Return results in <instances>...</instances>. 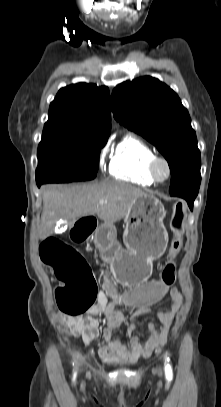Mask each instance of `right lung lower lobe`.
<instances>
[{"mask_svg":"<svg viewBox=\"0 0 221 407\" xmlns=\"http://www.w3.org/2000/svg\"><path fill=\"white\" fill-rule=\"evenodd\" d=\"M36 182H37V186H38V187H40L41 184H43V183H41V182H39V181H36Z\"/></svg>","mask_w":221,"mask_h":407,"instance_id":"98d812e1","label":"right lung lower lobe"}]
</instances>
